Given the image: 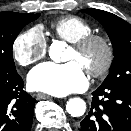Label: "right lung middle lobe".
Instances as JSON below:
<instances>
[{"label": "right lung middle lobe", "instance_id": "1", "mask_svg": "<svg viewBox=\"0 0 131 131\" xmlns=\"http://www.w3.org/2000/svg\"><path fill=\"white\" fill-rule=\"evenodd\" d=\"M39 16L40 14L0 12V72H16L12 56L13 43L22 28Z\"/></svg>", "mask_w": 131, "mask_h": 131}]
</instances>
